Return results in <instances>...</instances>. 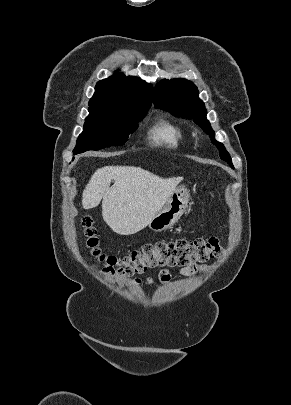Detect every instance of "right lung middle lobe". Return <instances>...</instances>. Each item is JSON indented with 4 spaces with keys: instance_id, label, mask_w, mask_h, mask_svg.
Here are the masks:
<instances>
[{
    "instance_id": "obj_1",
    "label": "right lung middle lobe",
    "mask_w": 291,
    "mask_h": 405,
    "mask_svg": "<svg viewBox=\"0 0 291 405\" xmlns=\"http://www.w3.org/2000/svg\"><path fill=\"white\" fill-rule=\"evenodd\" d=\"M148 108L138 110L89 109L83 132L77 139L74 155L87 150L121 146L146 115Z\"/></svg>"
}]
</instances>
